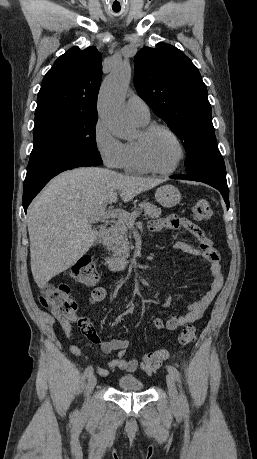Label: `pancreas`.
<instances>
[{
  "label": "pancreas",
  "instance_id": "obj_1",
  "mask_svg": "<svg viewBox=\"0 0 257 459\" xmlns=\"http://www.w3.org/2000/svg\"><path fill=\"white\" fill-rule=\"evenodd\" d=\"M144 212L147 218H159L161 209L149 202H141L137 208H134L130 215H138ZM128 226L125 221H116L105 233L102 244L108 252L113 254H126L128 252Z\"/></svg>",
  "mask_w": 257,
  "mask_h": 459
}]
</instances>
